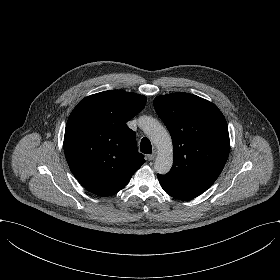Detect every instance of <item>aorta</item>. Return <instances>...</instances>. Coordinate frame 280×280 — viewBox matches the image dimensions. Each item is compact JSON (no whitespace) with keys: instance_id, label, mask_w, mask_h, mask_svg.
Here are the masks:
<instances>
[{"instance_id":"aorta-1","label":"aorta","mask_w":280,"mask_h":280,"mask_svg":"<svg viewBox=\"0 0 280 280\" xmlns=\"http://www.w3.org/2000/svg\"><path fill=\"white\" fill-rule=\"evenodd\" d=\"M144 120L143 131L150 141L156 146L158 155L154 162L155 170L160 174L170 171L173 165V146L169 132L157 120L142 117Z\"/></svg>"}]
</instances>
